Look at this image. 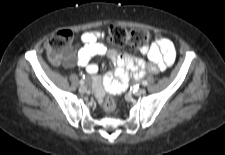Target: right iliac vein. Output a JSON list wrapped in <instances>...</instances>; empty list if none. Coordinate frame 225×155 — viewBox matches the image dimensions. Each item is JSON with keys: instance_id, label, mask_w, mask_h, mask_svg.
<instances>
[{"instance_id": "63e3f726", "label": "right iliac vein", "mask_w": 225, "mask_h": 155, "mask_svg": "<svg viewBox=\"0 0 225 155\" xmlns=\"http://www.w3.org/2000/svg\"><path fill=\"white\" fill-rule=\"evenodd\" d=\"M87 91V87L82 85L80 88H79V92L84 94L85 92Z\"/></svg>"}]
</instances>
